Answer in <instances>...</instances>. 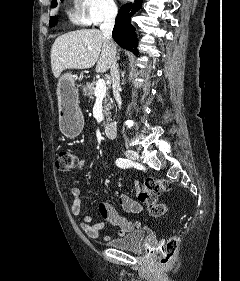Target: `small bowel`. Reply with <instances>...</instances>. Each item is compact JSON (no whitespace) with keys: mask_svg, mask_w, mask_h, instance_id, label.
I'll return each mask as SVG.
<instances>
[{"mask_svg":"<svg viewBox=\"0 0 240 281\" xmlns=\"http://www.w3.org/2000/svg\"><path fill=\"white\" fill-rule=\"evenodd\" d=\"M87 158L81 157L78 160L77 169L83 170L87 165ZM134 186L136 190L140 187V184L137 180L134 181ZM72 195V204H71V213L73 216L78 217L81 214L82 209V201H81V191L78 187H73L71 189ZM119 205L121 208L127 213H141L143 212L142 205L133 200L127 193H123L119 197ZM98 212L101 217V221L92 223L93 218L91 216H84L79 222V226L81 230L85 233L86 236L92 239H98L101 237V230L104 228L105 223H110L116 227H118V235L124 236L131 231H133L136 227L139 226V222H132L121 216L117 210L108 202H99ZM107 239V236L103 237Z\"/></svg>","mask_w":240,"mask_h":281,"instance_id":"obj_1","label":"small bowel"}]
</instances>
